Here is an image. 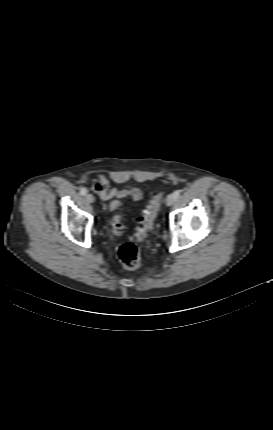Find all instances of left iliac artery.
<instances>
[{
    "label": "left iliac artery",
    "instance_id": "1",
    "mask_svg": "<svg viewBox=\"0 0 273 430\" xmlns=\"http://www.w3.org/2000/svg\"><path fill=\"white\" fill-rule=\"evenodd\" d=\"M181 192H182V190H180V189L175 190L173 192V196L175 197V199H177L180 196Z\"/></svg>",
    "mask_w": 273,
    "mask_h": 430
}]
</instances>
